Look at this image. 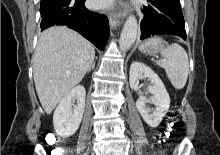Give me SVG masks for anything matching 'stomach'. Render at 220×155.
Returning <instances> with one entry per match:
<instances>
[{"label": "stomach", "instance_id": "1", "mask_svg": "<svg viewBox=\"0 0 220 155\" xmlns=\"http://www.w3.org/2000/svg\"><path fill=\"white\" fill-rule=\"evenodd\" d=\"M162 46V40L161 38H153L142 44L140 47V50L143 52L146 51H157Z\"/></svg>", "mask_w": 220, "mask_h": 155}]
</instances>
